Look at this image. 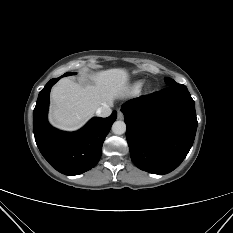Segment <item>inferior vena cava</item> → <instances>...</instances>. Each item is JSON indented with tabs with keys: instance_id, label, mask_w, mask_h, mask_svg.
<instances>
[{
	"instance_id": "obj_1",
	"label": "inferior vena cava",
	"mask_w": 233,
	"mask_h": 233,
	"mask_svg": "<svg viewBox=\"0 0 233 233\" xmlns=\"http://www.w3.org/2000/svg\"><path fill=\"white\" fill-rule=\"evenodd\" d=\"M112 110L109 105H103L96 110V115L99 117H108Z\"/></svg>"
}]
</instances>
